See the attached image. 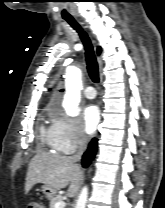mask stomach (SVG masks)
I'll return each mask as SVG.
<instances>
[{
    "mask_svg": "<svg viewBox=\"0 0 165 208\" xmlns=\"http://www.w3.org/2000/svg\"><path fill=\"white\" fill-rule=\"evenodd\" d=\"M42 192L44 193L47 199H52L56 194V190L54 188L46 185L42 187Z\"/></svg>",
    "mask_w": 165,
    "mask_h": 208,
    "instance_id": "0dacf381",
    "label": "stomach"
}]
</instances>
